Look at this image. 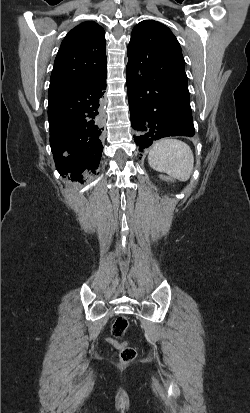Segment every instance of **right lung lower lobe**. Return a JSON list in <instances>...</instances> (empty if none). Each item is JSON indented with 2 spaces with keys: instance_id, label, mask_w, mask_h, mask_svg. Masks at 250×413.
<instances>
[{
  "instance_id": "obj_1",
  "label": "right lung lower lobe",
  "mask_w": 250,
  "mask_h": 413,
  "mask_svg": "<svg viewBox=\"0 0 250 413\" xmlns=\"http://www.w3.org/2000/svg\"><path fill=\"white\" fill-rule=\"evenodd\" d=\"M106 71L72 87L49 91L50 145L60 175L80 181L82 173L96 172L103 146L102 97Z\"/></svg>"
}]
</instances>
